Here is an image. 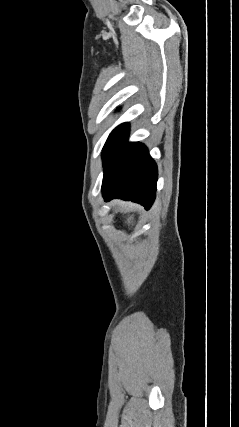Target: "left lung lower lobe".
Listing matches in <instances>:
<instances>
[{
    "instance_id": "0a47b994",
    "label": "left lung lower lobe",
    "mask_w": 239,
    "mask_h": 427,
    "mask_svg": "<svg viewBox=\"0 0 239 427\" xmlns=\"http://www.w3.org/2000/svg\"><path fill=\"white\" fill-rule=\"evenodd\" d=\"M128 135L126 124L103 148V197L106 202L131 200L149 209L155 198L157 166L143 144L127 142Z\"/></svg>"
}]
</instances>
